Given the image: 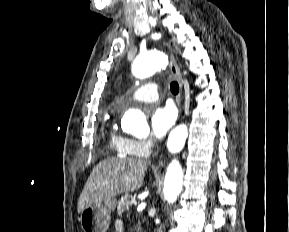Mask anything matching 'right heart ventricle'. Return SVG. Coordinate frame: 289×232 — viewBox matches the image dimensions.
Listing matches in <instances>:
<instances>
[{
  "label": "right heart ventricle",
  "instance_id": "1",
  "mask_svg": "<svg viewBox=\"0 0 289 232\" xmlns=\"http://www.w3.org/2000/svg\"><path fill=\"white\" fill-rule=\"evenodd\" d=\"M130 143V139L121 135L114 126L111 127L109 133V145L112 151L124 157H132L134 154L131 150Z\"/></svg>",
  "mask_w": 289,
  "mask_h": 232
}]
</instances>
